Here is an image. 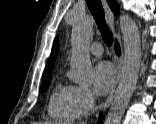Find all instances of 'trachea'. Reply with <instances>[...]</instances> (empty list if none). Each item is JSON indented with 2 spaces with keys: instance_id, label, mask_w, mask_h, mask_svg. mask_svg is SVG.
Masks as SVG:
<instances>
[{
  "instance_id": "1",
  "label": "trachea",
  "mask_w": 156,
  "mask_h": 124,
  "mask_svg": "<svg viewBox=\"0 0 156 124\" xmlns=\"http://www.w3.org/2000/svg\"><path fill=\"white\" fill-rule=\"evenodd\" d=\"M88 8L93 15L97 27L102 35V38L107 46H111L113 43V35L109 27L106 24L104 10L100 0H86Z\"/></svg>"
}]
</instances>
